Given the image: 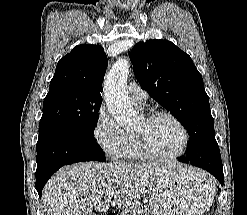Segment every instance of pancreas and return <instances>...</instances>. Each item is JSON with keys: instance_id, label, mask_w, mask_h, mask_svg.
Wrapping results in <instances>:
<instances>
[{"instance_id": "1", "label": "pancreas", "mask_w": 247, "mask_h": 215, "mask_svg": "<svg viewBox=\"0 0 247 215\" xmlns=\"http://www.w3.org/2000/svg\"><path fill=\"white\" fill-rule=\"evenodd\" d=\"M150 211L147 205L134 201L126 206L121 215H149Z\"/></svg>"}]
</instances>
